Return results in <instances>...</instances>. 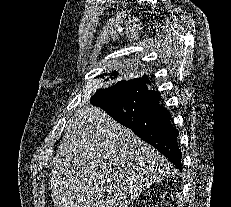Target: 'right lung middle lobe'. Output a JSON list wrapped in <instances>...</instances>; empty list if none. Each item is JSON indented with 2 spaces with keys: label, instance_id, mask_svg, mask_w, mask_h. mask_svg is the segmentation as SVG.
I'll return each mask as SVG.
<instances>
[{
  "label": "right lung middle lobe",
  "instance_id": "right-lung-middle-lobe-1",
  "mask_svg": "<svg viewBox=\"0 0 231 207\" xmlns=\"http://www.w3.org/2000/svg\"><path fill=\"white\" fill-rule=\"evenodd\" d=\"M126 81H121L109 88L106 89H101L99 91H97V93H99L100 99L105 98L107 96H110L111 94L116 93V95H118L119 92V88L125 83Z\"/></svg>",
  "mask_w": 231,
  "mask_h": 207
}]
</instances>
